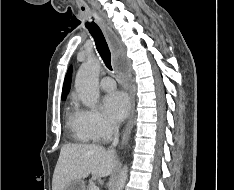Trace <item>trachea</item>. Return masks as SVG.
Returning <instances> with one entry per match:
<instances>
[{"label":"trachea","mask_w":234,"mask_h":190,"mask_svg":"<svg viewBox=\"0 0 234 190\" xmlns=\"http://www.w3.org/2000/svg\"><path fill=\"white\" fill-rule=\"evenodd\" d=\"M86 27L89 30L92 37L94 38L96 48H97L104 64L106 65V67L109 70H112L111 52H110V49L108 47V44L105 40V37H104L101 29L94 22H92L91 24H88Z\"/></svg>","instance_id":"trachea-1"}]
</instances>
